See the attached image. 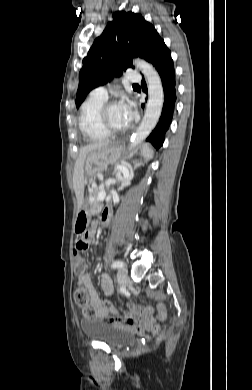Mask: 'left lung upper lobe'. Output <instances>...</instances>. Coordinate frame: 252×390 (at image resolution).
Listing matches in <instances>:
<instances>
[{"label":"left lung upper lobe","instance_id":"left-lung-upper-lobe-1","mask_svg":"<svg viewBox=\"0 0 252 390\" xmlns=\"http://www.w3.org/2000/svg\"><path fill=\"white\" fill-rule=\"evenodd\" d=\"M163 40L152 24L141 14L118 11L103 33L97 37L83 59L79 73L76 107L94 88L120 76L140 57L149 62L156 46Z\"/></svg>","mask_w":252,"mask_h":390}]
</instances>
